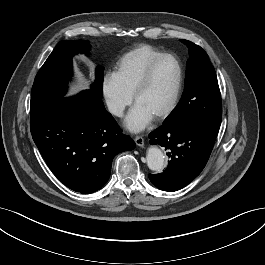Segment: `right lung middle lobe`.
Returning <instances> with one entry per match:
<instances>
[{"instance_id": "right-lung-middle-lobe-1", "label": "right lung middle lobe", "mask_w": 265, "mask_h": 265, "mask_svg": "<svg viewBox=\"0 0 265 265\" xmlns=\"http://www.w3.org/2000/svg\"><path fill=\"white\" fill-rule=\"evenodd\" d=\"M87 41H60L37 73L31 92L30 118L35 123L55 108L66 92L72 72V56L89 49ZM103 68L96 71V80L90 90L102 97Z\"/></svg>"}]
</instances>
